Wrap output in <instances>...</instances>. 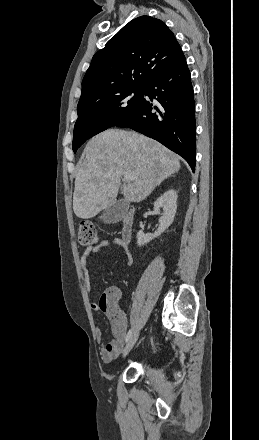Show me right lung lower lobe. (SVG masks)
I'll return each mask as SVG.
<instances>
[{
    "label": "right lung lower lobe",
    "mask_w": 259,
    "mask_h": 440,
    "mask_svg": "<svg viewBox=\"0 0 259 440\" xmlns=\"http://www.w3.org/2000/svg\"><path fill=\"white\" fill-rule=\"evenodd\" d=\"M138 109L116 127H128L153 138L182 156L195 170V104L184 54L155 76ZM156 110L157 112H153Z\"/></svg>",
    "instance_id": "1"
}]
</instances>
